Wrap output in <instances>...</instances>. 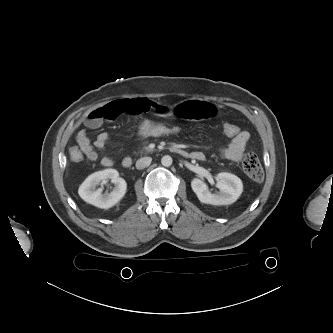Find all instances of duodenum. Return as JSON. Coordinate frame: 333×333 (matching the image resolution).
I'll return each mask as SVG.
<instances>
[{
    "mask_svg": "<svg viewBox=\"0 0 333 333\" xmlns=\"http://www.w3.org/2000/svg\"><path fill=\"white\" fill-rule=\"evenodd\" d=\"M173 150L177 153H180V154H185L183 150L181 149H178V148H173ZM132 165V160L130 157H125L122 161V166L124 168H129L130 166Z\"/></svg>",
    "mask_w": 333,
    "mask_h": 333,
    "instance_id": "410a0bca",
    "label": "duodenum"
}]
</instances>
